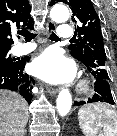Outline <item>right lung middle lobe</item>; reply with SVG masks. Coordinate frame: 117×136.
<instances>
[{
    "mask_svg": "<svg viewBox=\"0 0 117 136\" xmlns=\"http://www.w3.org/2000/svg\"><path fill=\"white\" fill-rule=\"evenodd\" d=\"M14 61H16V59L11 58L8 51L0 52V63L11 64Z\"/></svg>",
    "mask_w": 117,
    "mask_h": 136,
    "instance_id": "obj_1",
    "label": "right lung middle lobe"
}]
</instances>
